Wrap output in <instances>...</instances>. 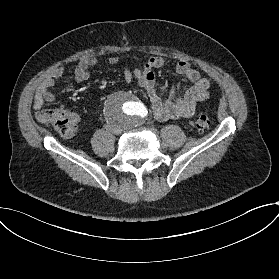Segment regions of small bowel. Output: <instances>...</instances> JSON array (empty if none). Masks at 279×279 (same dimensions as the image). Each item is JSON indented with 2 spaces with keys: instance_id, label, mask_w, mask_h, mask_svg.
I'll return each mask as SVG.
<instances>
[{
  "instance_id": "obj_1",
  "label": "small bowel",
  "mask_w": 279,
  "mask_h": 279,
  "mask_svg": "<svg viewBox=\"0 0 279 279\" xmlns=\"http://www.w3.org/2000/svg\"><path fill=\"white\" fill-rule=\"evenodd\" d=\"M109 64L121 66L122 62L117 56L108 58ZM165 60L161 56L150 57L143 66V69H130L123 66V78L127 83H138L143 87L148 95L154 117L159 121H166L176 118H187L194 114L196 104L209 98L208 88L211 79L201 75L200 71L193 67L188 61L180 60L175 66V72L184 76L189 85L182 89H173L169 98L162 99L155 90L154 70L163 67ZM98 60L93 56L81 58L74 69V79L77 83L87 80L90 67L96 66ZM65 68L58 66L52 69L38 84L33 99V108L39 111L44 104L52 103L55 100L50 89L56 85L58 80L64 75ZM71 119L74 124L81 121V117L76 112H71Z\"/></svg>"
}]
</instances>
